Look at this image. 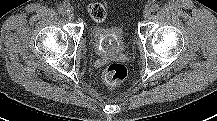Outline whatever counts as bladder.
Here are the masks:
<instances>
[{"label": "bladder", "mask_w": 217, "mask_h": 121, "mask_svg": "<svg viewBox=\"0 0 217 121\" xmlns=\"http://www.w3.org/2000/svg\"><path fill=\"white\" fill-rule=\"evenodd\" d=\"M94 50L100 55H116L125 49V35L118 24L110 26H95L91 32Z\"/></svg>", "instance_id": "obj_1"}]
</instances>
